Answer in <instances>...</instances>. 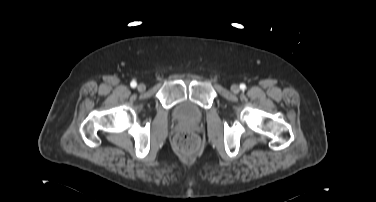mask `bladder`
Wrapping results in <instances>:
<instances>
[{"instance_id":"1","label":"bladder","mask_w":376,"mask_h":202,"mask_svg":"<svg viewBox=\"0 0 376 202\" xmlns=\"http://www.w3.org/2000/svg\"><path fill=\"white\" fill-rule=\"evenodd\" d=\"M174 115L177 119L185 122H198L202 118L200 108L190 101H183L176 105Z\"/></svg>"}]
</instances>
